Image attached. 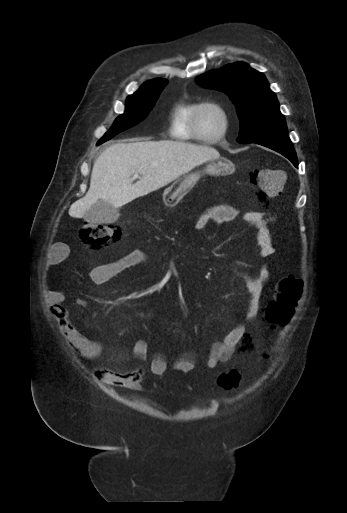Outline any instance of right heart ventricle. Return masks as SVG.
I'll list each match as a JSON object with an SVG mask.
<instances>
[{"mask_svg":"<svg viewBox=\"0 0 347 513\" xmlns=\"http://www.w3.org/2000/svg\"><path fill=\"white\" fill-rule=\"evenodd\" d=\"M200 103L196 100H181L175 105L169 126V132L173 139L204 143L202 139L194 135L191 129L193 114Z\"/></svg>","mask_w":347,"mask_h":513,"instance_id":"obj_1","label":"right heart ventricle"}]
</instances>
